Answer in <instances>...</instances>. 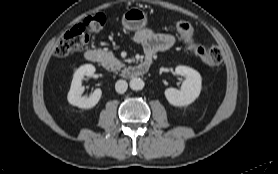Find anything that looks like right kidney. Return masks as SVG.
Instances as JSON below:
<instances>
[{
	"label": "right kidney",
	"instance_id": "ca27d5eb",
	"mask_svg": "<svg viewBox=\"0 0 278 174\" xmlns=\"http://www.w3.org/2000/svg\"><path fill=\"white\" fill-rule=\"evenodd\" d=\"M95 72V67L91 64H85L79 67L74 73L73 80L71 83V88L68 93L67 99L68 102L79 108L89 109L94 107L100 100L102 91L97 88L89 96H81L84 88L82 87V80L85 76L91 77Z\"/></svg>",
	"mask_w": 278,
	"mask_h": 174
}]
</instances>
